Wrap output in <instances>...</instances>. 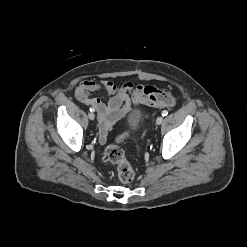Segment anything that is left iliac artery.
Masks as SVG:
<instances>
[{"label":"left iliac artery","instance_id":"obj_1","mask_svg":"<svg viewBox=\"0 0 247 247\" xmlns=\"http://www.w3.org/2000/svg\"><path fill=\"white\" fill-rule=\"evenodd\" d=\"M168 112L166 110L162 111V116H167Z\"/></svg>","mask_w":247,"mask_h":247}]
</instances>
